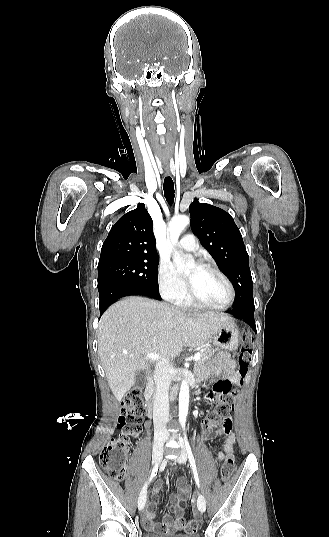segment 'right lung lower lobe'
Masks as SVG:
<instances>
[{
	"label": "right lung lower lobe",
	"mask_w": 329,
	"mask_h": 537,
	"mask_svg": "<svg viewBox=\"0 0 329 537\" xmlns=\"http://www.w3.org/2000/svg\"><path fill=\"white\" fill-rule=\"evenodd\" d=\"M98 291L100 295L99 309L100 316L104 313L106 308L116 300L124 296L131 295H143L149 296L155 299H161L159 291L153 289L129 285L113 281H105L98 284Z\"/></svg>",
	"instance_id": "98d812e1"
}]
</instances>
